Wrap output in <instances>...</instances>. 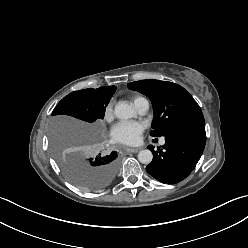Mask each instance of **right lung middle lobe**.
Instances as JSON below:
<instances>
[{
    "label": "right lung middle lobe",
    "mask_w": 248,
    "mask_h": 248,
    "mask_svg": "<svg viewBox=\"0 0 248 248\" xmlns=\"http://www.w3.org/2000/svg\"><path fill=\"white\" fill-rule=\"evenodd\" d=\"M115 92L102 89H84L65 96L55 107L52 115L65 114L86 122L103 119L106 106ZM55 159L65 176L76 186L85 191H97L108 186L118 170L117 153L96 157L66 151L52 143Z\"/></svg>",
    "instance_id": "1"
}]
</instances>
